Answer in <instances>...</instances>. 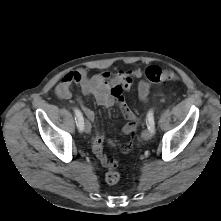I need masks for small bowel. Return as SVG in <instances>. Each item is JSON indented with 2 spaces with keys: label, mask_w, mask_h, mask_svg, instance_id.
I'll return each instance as SVG.
<instances>
[{
  "label": "small bowel",
  "mask_w": 221,
  "mask_h": 221,
  "mask_svg": "<svg viewBox=\"0 0 221 221\" xmlns=\"http://www.w3.org/2000/svg\"><path fill=\"white\" fill-rule=\"evenodd\" d=\"M143 71L141 68H136L131 71H120V72H110L103 71L90 76L86 69L79 68L75 71L65 74L58 85L57 92L61 91L62 98H70L71 88L73 85H78L81 88L82 93L85 96H92L97 104L104 107H111L117 104L116 101V89L123 84L127 83L128 87L132 85L135 80H139L137 84V93L142 101H147L150 95L151 86L150 84L142 79ZM78 102L82 105L83 111L89 121L95 124L96 114L95 112L87 107L83 101L78 98ZM131 111V110H130ZM124 117L127 119L128 123L122 128V134H129L137 126L136 116L131 111L130 116ZM108 142L113 144L112 141H107L102 129L95 125V132L91 139V148L99 160V162L107 167L110 164V159L104 152V144ZM128 147H123V151H128Z\"/></svg>",
  "instance_id": "c3829d8e"
}]
</instances>
